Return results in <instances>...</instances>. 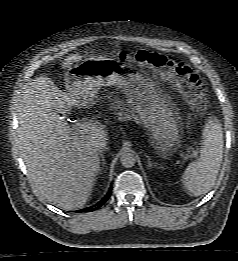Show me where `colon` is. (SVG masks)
<instances>
[{"mask_svg":"<svg viewBox=\"0 0 238 261\" xmlns=\"http://www.w3.org/2000/svg\"><path fill=\"white\" fill-rule=\"evenodd\" d=\"M122 56L158 72L170 81L197 113H203L206 110L203 83L189 65L145 49L125 53Z\"/></svg>","mask_w":238,"mask_h":261,"instance_id":"5ec220e1","label":"colon"}]
</instances>
